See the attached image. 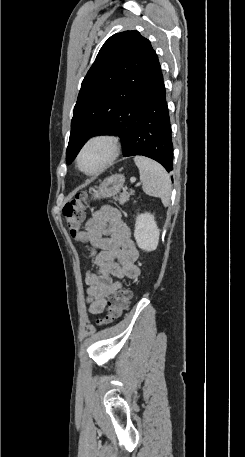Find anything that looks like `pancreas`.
Returning a JSON list of instances; mask_svg holds the SVG:
<instances>
[{
    "instance_id": "pancreas-1",
    "label": "pancreas",
    "mask_w": 245,
    "mask_h": 457,
    "mask_svg": "<svg viewBox=\"0 0 245 457\" xmlns=\"http://www.w3.org/2000/svg\"><path fill=\"white\" fill-rule=\"evenodd\" d=\"M130 192L127 190V186H124L123 192H120V196L118 198L120 204H124L126 200H129Z\"/></svg>"
}]
</instances>
